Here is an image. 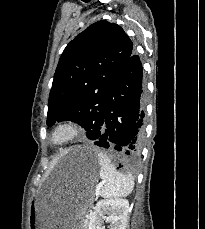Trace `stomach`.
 <instances>
[{"label":"stomach","mask_w":205,"mask_h":229,"mask_svg":"<svg viewBox=\"0 0 205 229\" xmlns=\"http://www.w3.org/2000/svg\"><path fill=\"white\" fill-rule=\"evenodd\" d=\"M79 154L83 173V193L74 206L63 195L40 196L31 204L28 216L29 229H82L84 214L94 197V184L99 175V160L96 152L84 147L69 150Z\"/></svg>","instance_id":"stomach-1"}]
</instances>
